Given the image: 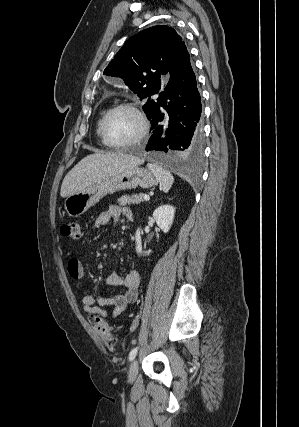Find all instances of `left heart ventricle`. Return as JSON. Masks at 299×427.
<instances>
[{
	"instance_id": "b2bd125f",
	"label": "left heart ventricle",
	"mask_w": 299,
	"mask_h": 427,
	"mask_svg": "<svg viewBox=\"0 0 299 427\" xmlns=\"http://www.w3.org/2000/svg\"><path fill=\"white\" fill-rule=\"evenodd\" d=\"M139 131L137 117L128 110H118L111 115L106 124V136L115 144L132 140Z\"/></svg>"
}]
</instances>
